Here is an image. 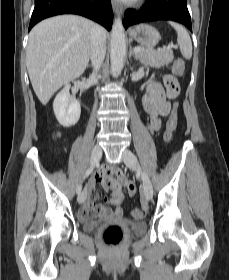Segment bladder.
Returning <instances> with one entry per match:
<instances>
[{
	"label": "bladder",
	"mask_w": 229,
	"mask_h": 280,
	"mask_svg": "<svg viewBox=\"0 0 229 280\" xmlns=\"http://www.w3.org/2000/svg\"><path fill=\"white\" fill-rule=\"evenodd\" d=\"M99 226V223L93 219H87L84 221V230L87 232L95 231ZM146 224L143 221H130L128 223V229L133 234H142L146 231Z\"/></svg>",
	"instance_id": "31cf9c89"
}]
</instances>
